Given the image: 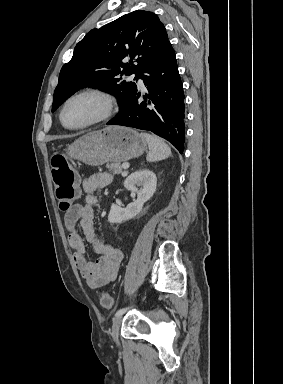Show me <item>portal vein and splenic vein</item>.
Segmentation results:
<instances>
[{"label":"portal vein and splenic vein","mask_w":283,"mask_h":384,"mask_svg":"<svg viewBox=\"0 0 283 384\" xmlns=\"http://www.w3.org/2000/svg\"><path fill=\"white\" fill-rule=\"evenodd\" d=\"M122 168H124V170H128L129 164H122ZM122 176H123V174H122Z\"/></svg>","instance_id":"portal-vein-and-splenic-vein-1"}]
</instances>
